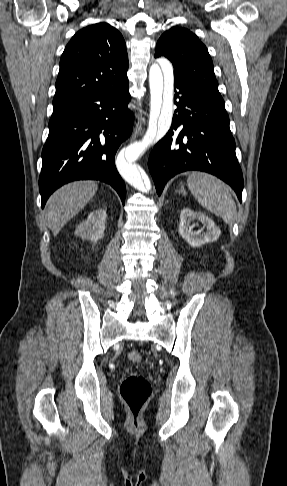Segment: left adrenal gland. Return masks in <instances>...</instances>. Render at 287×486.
Returning a JSON list of instances; mask_svg holds the SVG:
<instances>
[{"label":"left adrenal gland","mask_w":287,"mask_h":486,"mask_svg":"<svg viewBox=\"0 0 287 486\" xmlns=\"http://www.w3.org/2000/svg\"><path fill=\"white\" fill-rule=\"evenodd\" d=\"M177 192H184V188H181V190L177 191Z\"/></svg>","instance_id":"1"}]
</instances>
